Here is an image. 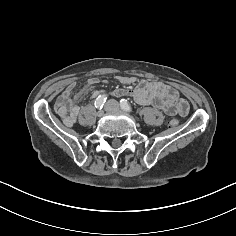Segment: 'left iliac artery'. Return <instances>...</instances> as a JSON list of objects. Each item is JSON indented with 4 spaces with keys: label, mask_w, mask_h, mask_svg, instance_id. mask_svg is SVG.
<instances>
[{
    "label": "left iliac artery",
    "mask_w": 236,
    "mask_h": 236,
    "mask_svg": "<svg viewBox=\"0 0 236 236\" xmlns=\"http://www.w3.org/2000/svg\"><path fill=\"white\" fill-rule=\"evenodd\" d=\"M120 106L124 111L127 112H132V107L130 106V104L127 102V100L125 99H121L120 100Z\"/></svg>",
    "instance_id": "1"
}]
</instances>
